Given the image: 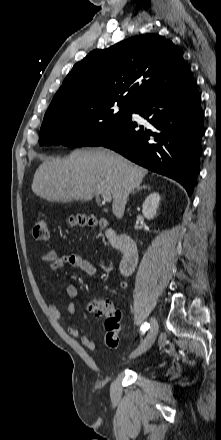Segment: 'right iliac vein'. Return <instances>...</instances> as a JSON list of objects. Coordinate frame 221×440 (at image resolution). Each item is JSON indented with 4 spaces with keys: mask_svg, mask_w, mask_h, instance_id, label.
Masks as SVG:
<instances>
[{
    "mask_svg": "<svg viewBox=\"0 0 221 440\" xmlns=\"http://www.w3.org/2000/svg\"><path fill=\"white\" fill-rule=\"evenodd\" d=\"M158 333V323L156 319H151V328L145 337V339L142 341V343L139 345V347L131 354V357H137L144 352H146L154 343L156 336Z\"/></svg>",
    "mask_w": 221,
    "mask_h": 440,
    "instance_id": "obj_1",
    "label": "right iliac vein"
}]
</instances>
